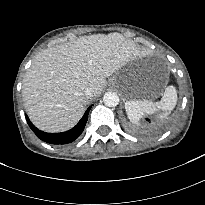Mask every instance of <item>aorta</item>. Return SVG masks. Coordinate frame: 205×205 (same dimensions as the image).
Here are the masks:
<instances>
[{"label":"aorta","mask_w":205,"mask_h":205,"mask_svg":"<svg viewBox=\"0 0 205 205\" xmlns=\"http://www.w3.org/2000/svg\"><path fill=\"white\" fill-rule=\"evenodd\" d=\"M103 102L108 107H115L119 104V96L114 92H106L103 96Z\"/></svg>","instance_id":"1"}]
</instances>
